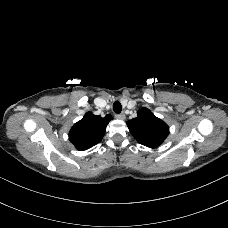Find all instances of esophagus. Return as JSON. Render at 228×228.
<instances>
[{"label": "esophagus", "mask_w": 228, "mask_h": 228, "mask_svg": "<svg viewBox=\"0 0 228 228\" xmlns=\"http://www.w3.org/2000/svg\"><path fill=\"white\" fill-rule=\"evenodd\" d=\"M115 117L119 120H124L125 119V114L124 113H120V114H116Z\"/></svg>", "instance_id": "1"}]
</instances>
